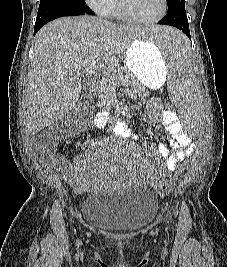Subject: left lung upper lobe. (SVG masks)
Segmentation results:
<instances>
[{
  "label": "left lung upper lobe",
  "mask_w": 227,
  "mask_h": 267,
  "mask_svg": "<svg viewBox=\"0 0 227 267\" xmlns=\"http://www.w3.org/2000/svg\"><path fill=\"white\" fill-rule=\"evenodd\" d=\"M184 3H185L184 0H167L168 7L179 5V4H184Z\"/></svg>",
  "instance_id": "obj_1"
}]
</instances>
